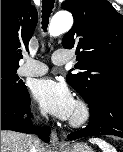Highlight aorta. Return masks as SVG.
Instances as JSON below:
<instances>
[{"label":"aorta","instance_id":"762f6f07","mask_svg":"<svg viewBox=\"0 0 123 152\" xmlns=\"http://www.w3.org/2000/svg\"><path fill=\"white\" fill-rule=\"evenodd\" d=\"M72 25V15L69 12H59L53 16L48 31L51 36H59L69 31Z\"/></svg>","mask_w":123,"mask_h":152}]
</instances>
